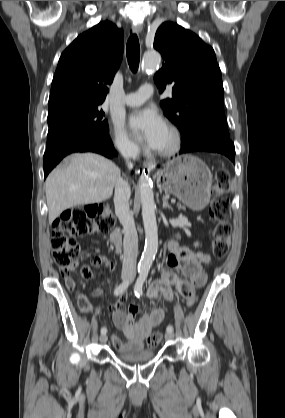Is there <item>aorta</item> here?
<instances>
[{"label": "aorta", "instance_id": "obj_1", "mask_svg": "<svg viewBox=\"0 0 285 418\" xmlns=\"http://www.w3.org/2000/svg\"><path fill=\"white\" fill-rule=\"evenodd\" d=\"M161 56L156 51L146 52L142 60V70H154L159 67ZM139 190L142 206V219L145 230V246L138 269L148 273L158 250V228L156 222V205L152 180L149 176L142 174L139 178Z\"/></svg>", "mask_w": 285, "mask_h": 418}]
</instances>
